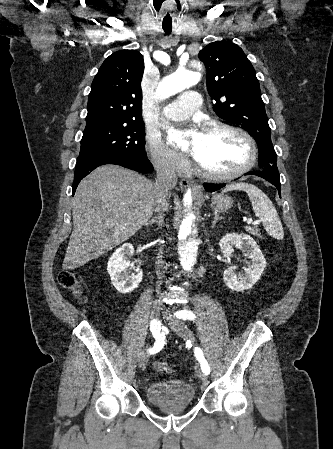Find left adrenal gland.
<instances>
[{"mask_svg": "<svg viewBox=\"0 0 333 449\" xmlns=\"http://www.w3.org/2000/svg\"><path fill=\"white\" fill-rule=\"evenodd\" d=\"M222 218L215 212L214 213V220L212 221V227H215L216 223L221 220Z\"/></svg>", "mask_w": 333, "mask_h": 449, "instance_id": "1", "label": "left adrenal gland"}]
</instances>
